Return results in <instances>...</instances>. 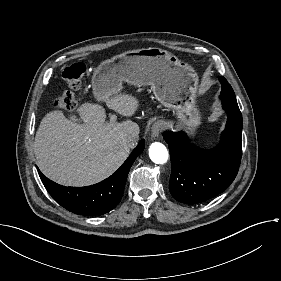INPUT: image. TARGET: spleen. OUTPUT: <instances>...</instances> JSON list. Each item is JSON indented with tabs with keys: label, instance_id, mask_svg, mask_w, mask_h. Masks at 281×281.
Returning a JSON list of instances; mask_svg holds the SVG:
<instances>
[{
	"label": "spleen",
	"instance_id": "spleen-1",
	"mask_svg": "<svg viewBox=\"0 0 281 281\" xmlns=\"http://www.w3.org/2000/svg\"><path fill=\"white\" fill-rule=\"evenodd\" d=\"M213 144H214V140L212 139V138H208V139H206L205 141H204V143L202 144V146L204 147V148H211L212 146H213Z\"/></svg>",
	"mask_w": 281,
	"mask_h": 281
}]
</instances>
